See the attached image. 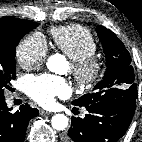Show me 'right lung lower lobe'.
<instances>
[{
	"label": "right lung lower lobe",
	"mask_w": 142,
	"mask_h": 142,
	"mask_svg": "<svg viewBox=\"0 0 142 142\" xmlns=\"http://www.w3.org/2000/svg\"><path fill=\"white\" fill-rule=\"evenodd\" d=\"M11 110L5 97L0 96V142H23L28 122L38 115V110L28 104L21 105L14 113Z\"/></svg>",
	"instance_id": "right-lung-lower-lobe-1"
}]
</instances>
